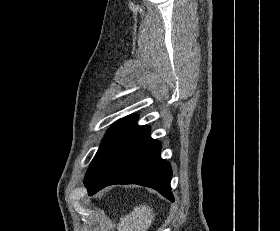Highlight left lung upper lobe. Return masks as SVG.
<instances>
[{"instance_id":"obj_1","label":"left lung upper lobe","mask_w":280,"mask_h":231,"mask_svg":"<svg viewBox=\"0 0 280 231\" xmlns=\"http://www.w3.org/2000/svg\"><path fill=\"white\" fill-rule=\"evenodd\" d=\"M138 117L136 115H129L126 116L120 120H118L117 122H115L111 128L107 131L103 142L99 148V150L102 148V146L113 136L115 135L117 132H119L120 130H122L123 128L127 127L128 125L135 123L137 121ZM98 150V151H99Z\"/></svg>"}]
</instances>
